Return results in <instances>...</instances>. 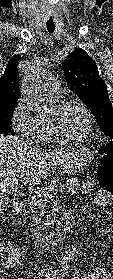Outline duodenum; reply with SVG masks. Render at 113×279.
<instances>
[{
  "instance_id": "410a0bca",
  "label": "duodenum",
  "mask_w": 113,
  "mask_h": 279,
  "mask_svg": "<svg viewBox=\"0 0 113 279\" xmlns=\"http://www.w3.org/2000/svg\"><path fill=\"white\" fill-rule=\"evenodd\" d=\"M74 221V212L69 210L64 213L59 223L51 230L32 231V236L41 245H47L51 242L59 240L61 236L66 234Z\"/></svg>"
}]
</instances>
